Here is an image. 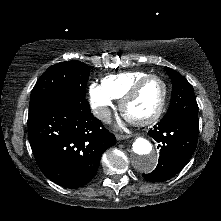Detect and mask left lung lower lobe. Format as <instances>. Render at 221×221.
<instances>
[{
  "instance_id": "0a47b994",
  "label": "left lung lower lobe",
  "mask_w": 221,
  "mask_h": 221,
  "mask_svg": "<svg viewBox=\"0 0 221 221\" xmlns=\"http://www.w3.org/2000/svg\"><path fill=\"white\" fill-rule=\"evenodd\" d=\"M198 128L187 119L177 117L162 119L150 129L149 135L159 143L160 157L156 169L143 177L163 182L181 171L195 151Z\"/></svg>"
}]
</instances>
